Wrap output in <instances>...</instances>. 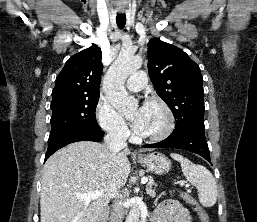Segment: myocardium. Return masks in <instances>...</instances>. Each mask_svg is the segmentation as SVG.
Returning <instances> with one entry per match:
<instances>
[{
  "label": "myocardium",
  "mask_w": 257,
  "mask_h": 222,
  "mask_svg": "<svg viewBox=\"0 0 257 222\" xmlns=\"http://www.w3.org/2000/svg\"><path fill=\"white\" fill-rule=\"evenodd\" d=\"M151 104L158 105L162 108V110L164 111L165 116H166L165 125H164L163 129L160 130L159 132L150 134V135H143V136H141V138L143 140H147V141L159 142V141L166 139L167 137H169L172 134L174 127H175V117H174L173 111L170 108V106L168 105V103L165 100H163L162 98H159V97L149 98L146 101V105H151Z\"/></svg>",
  "instance_id": "obj_1"
}]
</instances>
